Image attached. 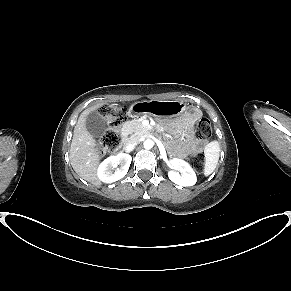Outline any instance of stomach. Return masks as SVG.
<instances>
[{
    "mask_svg": "<svg viewBox=\"0 0 291 291\" xmlns=\"http://www.w3.org/2000/svg\"><path fill=\"white\" fill-rule=\"evenodd\" d=\"M184 107L188 106L183 101L150 100L132 104L130 111L132 114L136 115L152 114L153 116L160 118H172L178 117V111Z\"/></svg>",
    "mask_w": 291,
    "mask_h": 291,
    "instance_id": "obj_1",
    "label": "stomach"
}]
</instances>
